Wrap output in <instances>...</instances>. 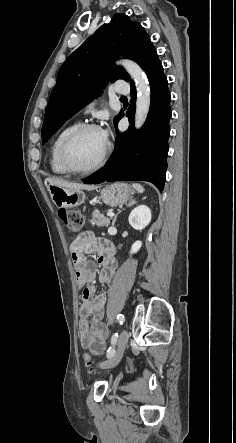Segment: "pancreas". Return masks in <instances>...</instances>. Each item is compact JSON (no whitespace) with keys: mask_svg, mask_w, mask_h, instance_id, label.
Segmentation results:
<instances>
[{"mask_svg":"<svg viewBox=\"0 0 236 443\" xmlns=\"http://www.w3.org/2000/svg\"><path fill=\"white\" fill-rule=\"evenodd\" d=\"M92 226L108 227L110 225V218H106L98 210L93 211L92 219L90 220Z\"/></svg>","mask_w":236,"mask_h":443,"instance_id":"cf45deb5","label":"pancreas"}]
</instances>
